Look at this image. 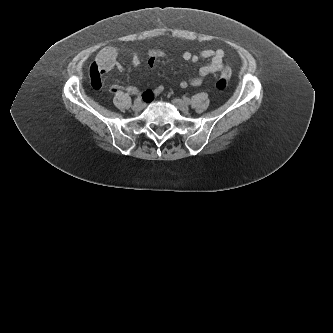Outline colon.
<instances>
[{
    "label": "colon",
    "instance_id": "5ec220e1",
    "mask_svg": "<svg viewBox=\"0 0 333 333\" xmlns=\"http://www.w3.org/2000/svg\"><path fill=\"white\" fill-rule=\"evenodd\" d=\"M231 77V71L229 68H225L221 74V77L217 80L215 88L218 91H225L229 85V80Z\"/></svg>",
    "mask_w": 333,
    "mask_h": 333
}]
</instances>
